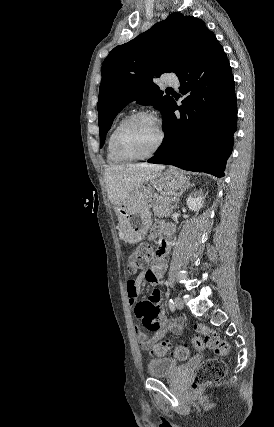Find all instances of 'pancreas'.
I'll list each match as a JSON object with an SVG mask.
<instances>
[{"instance_id":"1","label":"pancreas","mask_w":274,"mask_h":427,"mask_svg":"<svg viewBox=\"0 0 274 427\" xmlns=\"http://www.w3.org/2000/svg\"><path fill=\"white\" fill-rule=\"evenodd\" d=\"M153 215L158 217H168L173 210L172 202L167 196H158L152 204Z\"/></svg>"}]
</instances>
